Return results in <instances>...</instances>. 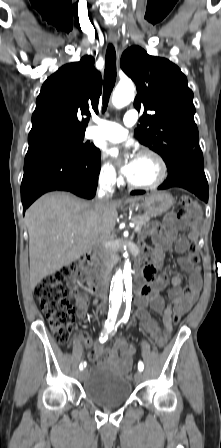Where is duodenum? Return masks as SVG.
<instances>
[{
	"label": "duodenum",
	"instance_id": "duodenum-1",
	"mask_svg": "<svg viewBox=\"0 0 221 448\" xmlns=\"http://www.w3.org/2000/svg\"><path fill=\"white\" fill-rule=\"evenodd\" d=\"M145 253L140 257V263L145 261ZM82 271L87 280L88 289L94 295H102L106 282L104 280L105 273L101 269H97L94 262L92 252H88L82 263Z\"/></svg>",
	"mask_w": 221,
	"mask_h": 448
}]
</instances>
